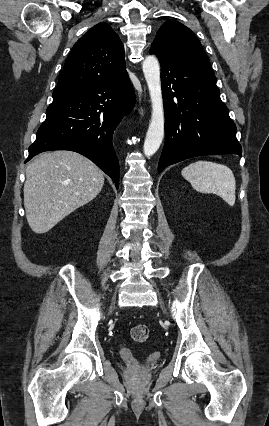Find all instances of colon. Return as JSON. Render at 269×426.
Returning <instances> with one entry per match:
<instances>
[{"label":"colon","mask_w":269,"mask_h":426,"mask_svg":"<svg viewBox=\"0 0 269 426\" xmlns=\"http://www.w3.org/2000/svg\"><path fill=\"white\" fill-rule=\"evenodd\" d=\"M131 336L137 343H146L150 337V328L146 324H137L132 327Z\"/></svg>","instance_id":"obj_1"}]
</instances>
